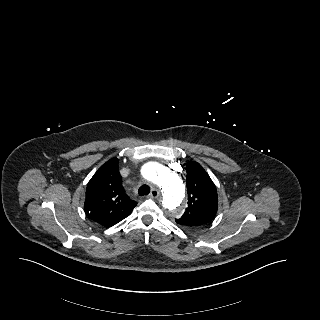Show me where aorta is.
Masks as SVG:
<instances>
[{
	"label": "aorta",
	"mask_w": 320,
	"mask_h": 320,
	"mask_svg": "<svg viewBox=\"0 0 320 320\" xmlns=\"http://www.w3.org/2000/svg\"><path fill=\"white\" fill-rule=\"evenodd\" d=\"M141 174L146 180L160 187L164 206L169 213L176 217L181 216L184 211V185L178 174L156 162L146 163L141 168Z\"/></svg>",
	"instance_id": "aorta-1"
}]
</instances>
